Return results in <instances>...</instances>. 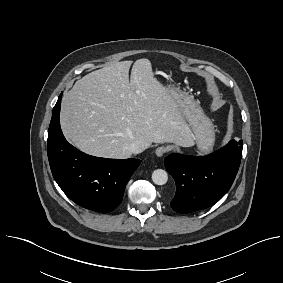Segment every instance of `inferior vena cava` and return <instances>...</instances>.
<instances>
[{
  "mask_svg": "<svg viewBox=\"0 0 283 283\" xmlns=\"http://www.w3.org/2000/svg\"><path fill=\"white\" fill-rule=\"evenodd\" d=\"M145 150V147L138 142H133L129 146V151L133 154L141 153Z\"/></svg>",
  "mask_w": 283,
  "mask_h": 283,
  "instance_id": "1",
  "label": "inferior vena cava"
}]
</instances>
